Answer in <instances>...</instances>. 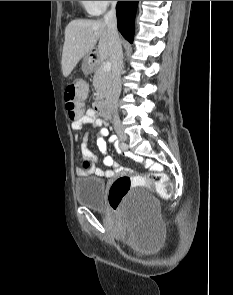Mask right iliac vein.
<instances>
[{
	"instance_id": "1",
	"label": "right iliac vein",
	"mask_w": 233,
	"mask_h": 295,
	"mask_svg": "<svg viewBox=\"0 0 233 295\" xmlns=\"http://www.w3.org/2000/svg\"><path fill=\"white\" fill-rule=\"evenodd\" d=\"M115 130L121 140L126 141L128 139L126 133L123 131V129L120 126H116Z\"/></svg>"
}]
</instances>
